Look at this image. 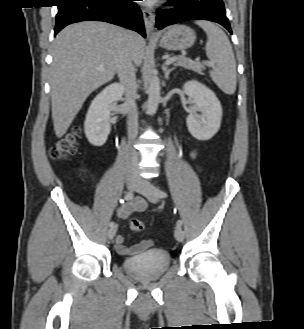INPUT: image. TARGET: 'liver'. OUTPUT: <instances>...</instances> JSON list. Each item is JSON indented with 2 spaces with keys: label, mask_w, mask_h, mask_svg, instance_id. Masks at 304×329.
Here are the masks:
<instances>
[{
  "label": "liver",
  "mask_w": 304,
  "mask_h": 329,
  "mask_svg": "<svg viewBox=\"0 0 304 329\" xmlns=\"http://www.w3.org/2000/svg\"><path fill=\"white\" fill-rule=\"evenodd\" d=\"M127 37L132 59L140 66L145 42L133 31L98 21L71 24L58 33L50 71L52 120L61 138L86 98L113 79Z\"/></svg>",
  "instance_id": "1"
}]
</instances>
